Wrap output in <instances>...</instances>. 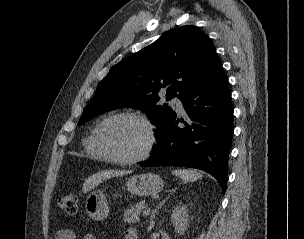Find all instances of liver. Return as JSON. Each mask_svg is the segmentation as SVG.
<instances>
[{
    "mask_svg": "<svg viewBox=\"0 0 304 239\" xmlns=\"http://www.w3.org/2000/svg\"><path fill=\"white\" fill-rule=\"evenodd\" d=\"M129 173L130 171H125V170H104L98 172L96 174L91 175L85 180L82 187V191L84 193H87L109 178H113L116 176H123Z\"/></svg>",
    "mask_w": 304,
    "mask_h": 239,
    "instance_id": "6515ba94",
    "label": "liver"
}]
</instances>
